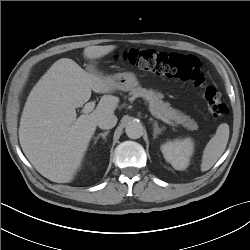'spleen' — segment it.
<instances>
[{"instance_id": "spleen-1", "label": "spleen", "mask_w": 250, "mask_h": 250, "mask_svg": "<svg viewBox=\"0 0 250 250\" xmlns=\"http://www.w3.org/2000/svg\"><path fill=\"white\" fill-rule=\"evenodd\" d=\"M229 139V125L222 123L209 140L202 155L201 171L209 170L222 156Z\"/></svg>"}]
</instances>
